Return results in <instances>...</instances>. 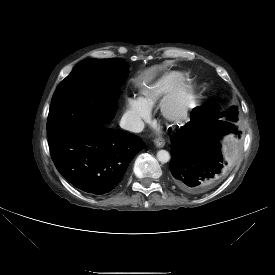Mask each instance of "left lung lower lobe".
I'll list each match as a JSON object with an SVG mask.
<instances>
[{
    "label": "left lung lower lobe",
    "instance_id": "0a47b994",
    "mask_svg": "<svg viewBox=\"0 0 275 275\" xmlns=\"http://www.w3.org/2000/svg\"><path fill=\"white\" fill-rule=\"evenodd\" d=\"M219 117L209 113L198 117L194 108L191 121L171 136V179L183 192L205 191L217 184L225 171L220 142L230 132L240 133Z\"/></svg>",
    "mask_w": 275,
    "mask_h": 275
}]
</instances>
